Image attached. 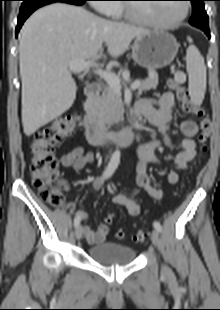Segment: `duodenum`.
Segmentation results:
<instances>
[{"label": "duodenum", "instance_id": "obj_1", "mask_svg": "<svg viewBox=\"0 0 220 310\" xmlns=\"http://www.w3.org/2000/svg\"><path fill=\"white\" fill-rule=\"evenodd\" d=\"M100 93V85L97 82L89 84L85 89L86 101L82 118L83 131L87 141L92 145H99L106 141L111 146H128L134 140V130L128 126L120 131H113L101 126L95 113L94 102ZM138 113L132 110L131 119L134 120Z\"/></svg>", "mask_w": 220, "mask_h": 310}]
</instances>
